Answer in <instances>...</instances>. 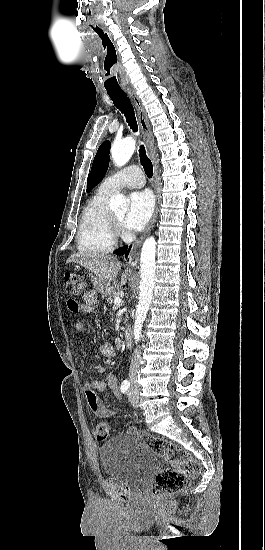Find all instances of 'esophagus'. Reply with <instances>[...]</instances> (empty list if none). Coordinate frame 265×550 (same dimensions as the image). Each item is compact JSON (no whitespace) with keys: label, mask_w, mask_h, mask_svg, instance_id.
<instances>
[{"label":"esophagus","mask_w":265,"mask_h":550,"mask_svg":"<svg viewBox=\"0 0 265 550\" xmlns=\"http://www.w3.org/2000/svg\"><path fill=\"white\" fill-rule=\"evenodd\" d=\"M127 94L130 97V99L132 100V102H133V104H134V106L137 110L139 126H140L141 132L144 136V141H145V145L147 147L148 155H149V157H150V159L153 163V187H154V192H155V196H156V208H155V212L153 214V217L150 221V224L145 229L143 234L134 242V246H133V248L131 250V253H130V260H131L132 263H134V262L137 261V258H138V255H139V248H140L144 238L147 236L148 233H150V231L154 227V224H155L156 218H157V214H158V206H159L158 165H157V161H156V157H155V153H154V149H153V142H154L153 135H152V131H151V128H150V125H149V122H148V118H147V114H146V111L144 109V106H143L141 100L139 99L138 95L134 91H132V90L127 91Z\"/></svg>","instance_id":"34e87169"}]
</instances>
